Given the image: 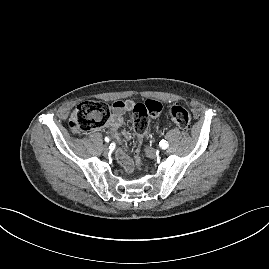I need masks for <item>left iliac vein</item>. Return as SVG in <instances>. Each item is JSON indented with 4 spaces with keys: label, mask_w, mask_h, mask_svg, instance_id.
Wrapping results in <instances>:
<instances>
[{
    "label": "left iliac vein",
    "mask_w": 269,
    "mask_h": 269,
    "mask_svg": "<svg viewBox=\"0 0 269 269\" xmlns=\"http://www.w3.org/2000/svg\"><path fill=\"white\" fill-rule=\"evenodd\" d=\"M144 155L147 156V157H150V158H156L157 157V152L155 151V149L153 147H145L144 148Z\"/></svg>",
    "instance_id": "1"
}]
</instances>
